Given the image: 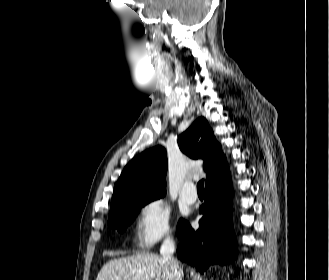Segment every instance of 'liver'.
<instances>
[{
    "mask_svg": "<svg viewBox=\"0 0 329 280\" xmlns=\"http://www.w3.org/2000/svg\"><path fill=\"white\" fill-rule=\"evenodd\" d=\"M96 280H172L166 262L152 253L136 254L108 261Z\"/></svg>",
    "mask_w": 329,
    "mask_h": 280,
    "instance_id": "liver-1",
    "label": "liver"
}]
</instances>
